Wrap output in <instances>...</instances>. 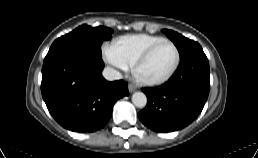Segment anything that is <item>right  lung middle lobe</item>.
<instances>
[{
  "mask_svg": "<svg viewBox=\"0 0 258 158\" xmlns=\"http://www.w3.org/2000/svg\"><path fill=\"white\" fill-rule=\"evenodd\" d=\"M112 30L107 27L92 28L82 25L74 31L56 39L51 45L47 55L65 50L86 51L102 56L101 44L111 38Z\"/></svg>",
  "mask_w": 258,
  "mask_h": 158,
  "instance_id": "right-lung-middle-lobe-1",
  "label": "right lung middle lobe"
}]
</instances>
